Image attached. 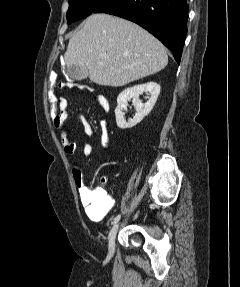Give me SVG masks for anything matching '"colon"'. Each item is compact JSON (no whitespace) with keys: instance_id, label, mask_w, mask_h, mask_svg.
Returning <instances> with one entry per match:
<instances>
[{"instance_id":"1","label":"colon","mask_w":240,"mask_h":287,"mask_svg":"<svg viewBox=\"0 0 240 287\" xmlns=\"http://www.w3.org/2000/svg\"><path fill=\"white\" fill-rule=\"evenodd\" d=\"M65 88L88 89V87L72 82L58 81V75L52 71L49 75L47 105L51 122L55 128L64 124L67 118V100L60 94Z\"/></svg>"}]
</instances>
